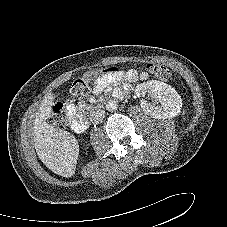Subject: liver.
Segmentation results:
<instances>
[{"instance_id": "liver-1", "label": "liver", "mask_w": 227, "mask_h": 227, "mask_svg": "<svg viewBox=\"0 0 227 227\" xmlns=\"http://www.w3.org/2000/svg\"><path fill=\"white\" fill-rule=\"evenodd\" d=\"M54 98L52 93H48L42 100L35 114L33 140L43 164L52 172L68 178L75 173L79 146L71 133L46 122L52 113Z\"/></svg>"}]
</instances>
